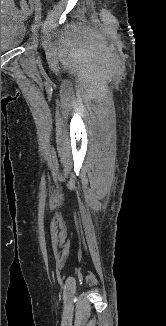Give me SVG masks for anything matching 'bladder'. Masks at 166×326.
Segmentation results:
<instances>
[{"label":"bladder","instance_id":"bladder-1","mask_svg":"<svg viewBox=\"0 0 166 326\" xmlns=\"http://www.w3.org/2000/svg\"><path fill=\"white\" fill-rule=\"evenodd\" d=\"M26 26L22 19L1 13V52L17 48L24 40Z\"/></svg>","mask_w":166,"mask_h":326}]
</instances>
